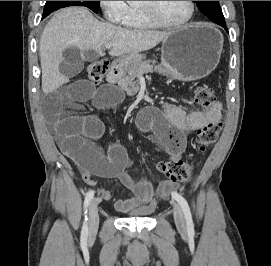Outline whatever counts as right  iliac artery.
Here are the masks:
<instances>
[{"label":"right iliac artery","instance_id":"obj_1","mask_svg":"<svg viewBox=\"0 0 271 266\" xmlns=\"http://www.w3.org/2000/svg\"><path fill=\"white\" fill-rule=\"evenodd\" d=\"M94 197V191L90 190L86 197H85V201H84V209H85V214H87V209L88 206L90 204V202L92 201ZM88 218L87 215H85V219L83 222V227H82V232H81V241L82 242H86L87 241V237H88V222H87Z\"/></svg>","mask_w":271,"mask_h":266}]
</instances>
